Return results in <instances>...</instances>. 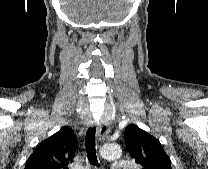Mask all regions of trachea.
<instances>
[{"label":"trachea","instance_id":"3493384b","mask_svg":"<svg viewBox=\"0 0 208 169\" xmlns=\"http://www.w3.org/2000/svg\"><path fill=\"white\" fill-rule=\"evenodd\" d=\"M95 134H96V128L95 127L89 128L86 132V137H85V146H86L88 161L93 165L98 164L96 149H95Z\"/></svg>","mask_w":208,"mask_h":169}]
</instances>
